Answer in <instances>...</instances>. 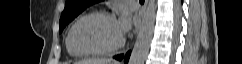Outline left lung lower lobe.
Listing matches in <instances>:
<instances>
[{"mask_svg": "<svg viewBox=\"0 0 242 64\" xmlns=\"http://www.w3.org/2000/svg\"><path fill=\"white\" fill-rule=\"evenodd\" d=\"M129 56H130V51L126 53V55L124 56L123 54L120 55H116L113 58L121 61L122 59H124V63L127 64L128 60H129Z\"/></svg>", "mask_w": 242, "mask_h": 64, "instance_id": "obj_1", "label": "left lung lower lobe"}]
</instances>
